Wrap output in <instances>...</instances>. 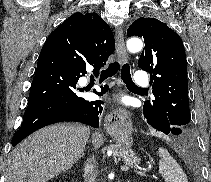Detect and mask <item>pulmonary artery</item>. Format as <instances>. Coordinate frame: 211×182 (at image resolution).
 I'll return each instance as SVG.
<instances>
[{"label":"pulmonary artery","instance_id":"1","mask_svg":"<svg viewBox=\"0 0 211 182\" xmlns=\"http://www.w3.org/2000/svg\"><path fill=\"white\" fill-rule=\"evenodd\" d=\"M148 75L142 70H138L134 75V83L140 86L148 84Z\"/></svg>","mask_w":211,"mask_h":182}]
</instances>
